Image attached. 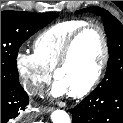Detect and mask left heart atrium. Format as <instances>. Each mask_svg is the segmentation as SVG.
<instances>
[{
  "instance_id": "obj_1",
  "label": "left heart atrium",
  "mask_w": 123,
  "mask_h": 123,
  "mask_svg": "<svg viewBox=\"0 0 123 123\" xmlns=\"http://www.w3.org/2000/svg\"><path fill=\"white\" fill-rule=\"evenodd\" d=\"M66 93H68L67 89L57 80L51 88V94L57 97L63 96Z\"/></svg>"
}]
</instances>
